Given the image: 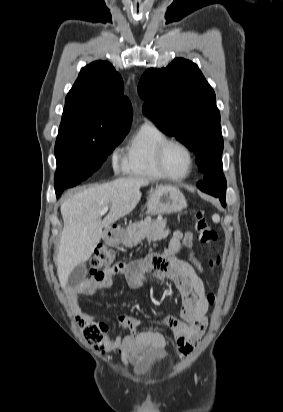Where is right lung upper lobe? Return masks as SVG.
Segmentation results:
<instances>
[{
  "label": "right lung upper lobe",
  "mask_w": 283,
  "mask_h": 412,
  "mask_svg": "<svg viewBox=\"0 0 283 412\" xmlns=\"http://www.w3.org/2000/svg\"><path fill=\"white\" fill-rule=\"evenodd\" d=\"M123 80L105 61L87 65L69 91L62 120L78 122L96 134L128 132L132 107L123 96Z\"/></svg>",
  "instance_id": "1"
}]
</instances>
